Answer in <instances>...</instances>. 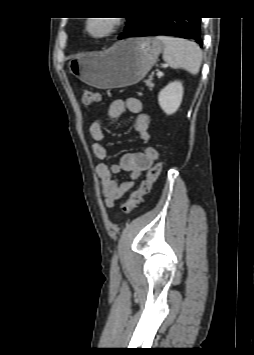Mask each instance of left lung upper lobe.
Returning <instances> with one entry per match:
<instances>
[{
  "mask_svg": "<svg viewBox=\"0 0 254 355\" xmlns=\"http://www.w3.org/2000/svg\"><path fill=\"white\" fill-rule=\"evenodd\" d=\"M127 20H128V25L126 26L124 33L128 32L135 25L137 18H127Z\"/></svg>",
  "mask_w": 254,
  "mask_h": 355,
  "instance_id": "1",
  "label": "left lung upper lobe"
}]
</instances>
